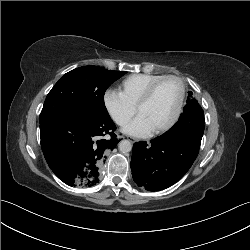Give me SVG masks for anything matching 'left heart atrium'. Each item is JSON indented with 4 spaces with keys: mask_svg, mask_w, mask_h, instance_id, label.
Instances as JSON below:
<instances>
[{
    "mask_svg": "<svg viewBox=\"0 0 250 250\" xmlns=\"http://www.w3.org/2000/svg\"><path fill=\"white\" fill-rule=\"evenodd\" d=\"M124 132L133 136H145L151 133V129L143 116L138 114L128 125L124 127Z\"/></svg>",
    "mask_w": 250,
    "mask_h": 250,
    "instance_id": "1",
    "label": "left heart atrium"
}]
</instances>
